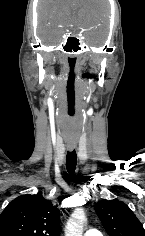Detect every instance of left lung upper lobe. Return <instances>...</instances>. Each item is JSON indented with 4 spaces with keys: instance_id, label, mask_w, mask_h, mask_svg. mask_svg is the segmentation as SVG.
<instances>
[{
    "instance_id": "left-lung-upper-lobe-1",
    "label": "left lung upper lobe",
    "mask_w": 145,
    "mask_h": 236,
    "mask_svg": "<svg viewBox=\"0 0 145 236\" xmlns=\"http://www.w3.org/2000/svg\"><path fill=\"white\" fill-rule=\"evenodd\" d=\"M94 208L109 236H145L142 224L125 203L102 200Z\"/></svg>"
}]
</instances>
